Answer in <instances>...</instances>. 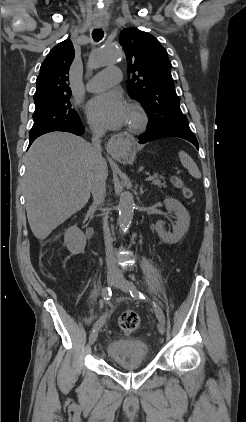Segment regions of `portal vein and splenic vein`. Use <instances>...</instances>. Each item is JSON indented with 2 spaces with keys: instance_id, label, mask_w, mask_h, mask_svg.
<instances>
[{
  "instance_id": "18ae733b",
  "label": "portal vein and splenic vein",
  "mask_w": 246,
  "mask_h": 422,
  "mask_svg": "<svg viewBox=\"0 0 246 422\" xmlns=\"http://www.w3.org/2000/svg\"><path fill=\"white\" fill-rule=\"evenodd\" d=\"M154 180V176H149L145 179V181H153Z\"/></svg>"
}]
</instances>
